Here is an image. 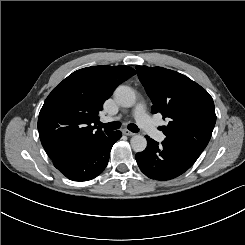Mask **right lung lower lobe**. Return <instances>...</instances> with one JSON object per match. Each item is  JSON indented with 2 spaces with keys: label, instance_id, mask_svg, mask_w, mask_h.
<instances>
[{
  "label": "right lung lower lobe",
  "instance_id": "obj_1",
  "mask_svg": "<svg viewBox=\"0 0 245 245\" xmlns=\"http://www.w3.org/2000/svg\"><path fill=\"white\" fill-rule=\"evenodd\" d=\"M121 136L120 131H108L88 141L69 145L51 159L54 166L68 179L91 180L103 172L110 150Z\"/></svg>",
  "mask_w": 245,
  "mask_h": 245
}]
</instances>
